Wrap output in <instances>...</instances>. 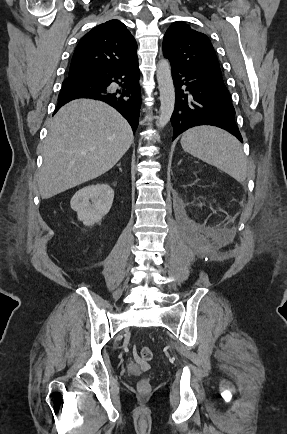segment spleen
<instances>
[{
  "mask_svg": "<svg viewBox=\"0 0 287 434\" xmlns=\"http://www.w3.org/2000/svg\"><path fill=\"white\" fill-rule=\"evenodd\" d=\"M181 146L184 151L217 167L238 182L247 177V161L242 145L227 131L212 127H194L183 133Z\"/></svg>",
  "mask_w": 287,
  "mask_h": 434,
  "instance_id": "1",
  "label": "spleen"
}]
</instances>
